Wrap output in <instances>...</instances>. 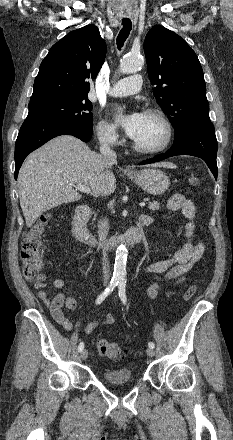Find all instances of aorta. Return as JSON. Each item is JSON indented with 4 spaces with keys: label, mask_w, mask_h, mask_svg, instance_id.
<instances>
[{
    "label": "aorta",
    "mask_w": 233,
    "mask_h": 440,
    "mask_svg": "<svg viewBox=\"0 0 233 440\" xmlns=\"http://www.w3.org/2000/svg\"><path fill=\"white\" fill-rule=\"evenodd\" d=\"M143 60L140 56H128L123 58L120 63V71L124 74L135 73L142 66ZM128 251L125 245L121 244L117 247L114 263L113 277L116 280H125L126 262Z\"/></svg>",
    "instance_id": "762f6f07"
}]
</instances>
